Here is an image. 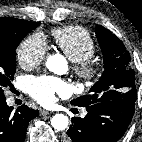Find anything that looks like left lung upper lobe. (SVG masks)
Listing matches in <instances>:
<instances>
[{"instance_id":"1","label":"left lung upper lobe","mask_w":142,"mask_h":142,"mask_svg":"<svg viewBox=\"0 0 142 142\" xmlns=\"http://www.w3.org/2000/svg\"><path fill=\"white\" fill-rule=\"evenodd\" d=\"M96 36L100 44L104 72L90 94L71 101L72 105L87 107L95 103L124 98H137L134 70L130 66V55L124 44L108 29L97 26Z\"/></svg>"}]
</instances>
